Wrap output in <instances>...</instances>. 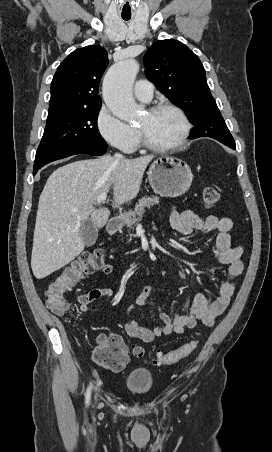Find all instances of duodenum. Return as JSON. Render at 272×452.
Segmentation results:
<instances>
[{"mask_svg": "<svg viewBox=\"0 0 272 452\" xmlns=\"http://www.w3.org/2000/svg\"><path fill=\"white\" fill-rule=\"evenodd\" d=\"M121 228V220L119 217H113L107 222V230L110 234L118 232ZM112 251L115 252L116 249L113 247Z\"/></svg>", "mask_w": 272, "mask_h": 452, "instance_id": "1", "label": "duodenum"}]
</instances>
